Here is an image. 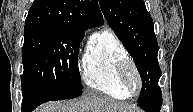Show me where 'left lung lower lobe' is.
<instances>
[{
	"label": "left lung lower lobe",
	"instance_id": "1",
	"mask_svg": "<svg viewBox=\"0 0 193 112\" xmlns=\"http://www.w3.org/2000/svg\"><path fill=\"white\" fill-rule=\"evenodd\" d=\"M137 105L146 112H159L162 105V93L160 88L158 89V92L153 99L139 103Z\"/></svg>",
	"mask_w": 193,
	"mask_h": 112
}]
</instances>
